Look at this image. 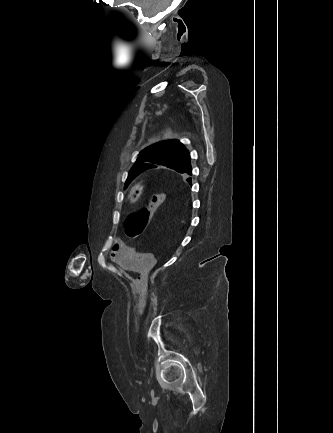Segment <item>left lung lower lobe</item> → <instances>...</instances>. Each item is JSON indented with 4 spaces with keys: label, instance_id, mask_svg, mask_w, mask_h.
<instances>
[{
    "label": "left lung lower lobe",
    "instance_id": "0a47b994",
    "mask_svg": "<svg viewBox=\"0 0 333 433\" xmlns=\"http://www.w3.org/2000/svg\"><path fill=\"white\" fill-rule=\"evenodd\" d=\"M144 171L145 170H147V169H150V168H155L153 165H145L144 166ZM185 173H187V174H189V175H192V168H190L187 172H185ZM188 181L190 182V179H188Z\"/></svg>",
    "mask_w": 333,
    "mask_h": 433
}]
</instances>
